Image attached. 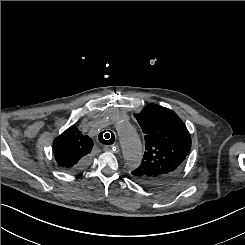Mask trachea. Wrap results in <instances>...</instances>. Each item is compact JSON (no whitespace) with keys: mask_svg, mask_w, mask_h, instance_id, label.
I'll return each mask as SVG.
<instances>
[{"mask_svg":"<svg viewBox=\"0 0 245 245\" xmlns=\"http://www.w3.org/2000/svg\"><path fill=\"white\" fill-rule=\"evenodd\" d=\"M98 139L102 144L111 145L115 141V135L112 131H104L99 134Z\"/></svg>","mask_w":245,"mask_h":245,"instance_id":"3493384b","label":"trachea"}]
</instances>
